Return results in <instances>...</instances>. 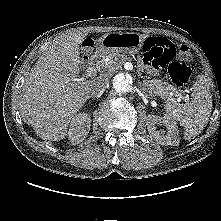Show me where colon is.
Listing matches in <instances>:
<instances>
[{
    "instance_id": "5ec220e1",
    "label": "colon",
    "mask_w": 221,
    "mask_h": 221,
    "mask_svg": "<svg viewBox=\"0 0 221 221\" xmlns=\"http://www.w3.org/2000/svg\"><path fill=\"white\" fill-rule=\"evenodd\" d=\"M93 49V42L87 39L82 49V57L88 59ZM144 59L149 62L154 68L168 66V73L171 81L177 87L185 86L192 75L191 68L187 65L192 59L191 49L181 44L175 46L169 40L164 39L162 43L153 44L151 38L146 39L144 46Z\"/></svg>"
}]
</instances>
